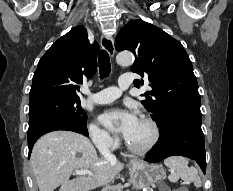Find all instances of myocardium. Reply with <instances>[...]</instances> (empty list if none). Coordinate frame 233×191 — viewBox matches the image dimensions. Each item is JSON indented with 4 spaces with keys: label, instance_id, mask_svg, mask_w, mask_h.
I'll use <instances>...</instances> for the list:
<instances>
[{
    "label": "myocardium",
    "instance_id": "obj_1",
    "mask_svg": "<svg viewBox=\"0 0 233 191\" xmlns=\"http://www.w3.org/2000/svg\"><path fill=\"white\" fill-rule=\"evenodd\" d=\"M141 119L146 121L147 123H149L151 125L152 130H153V136H152L151 141L145 146H137V145L130 143L128 140H126L127 147L132 152L137 153V154H145V153L149 152L150 150H152L156 146V144L158 143V141L160 139V127H159L157 121L148 115H143L141 117Z\"/></svg>",
    "mask_w": 233,
    "mask_h": 191
}]
</instances>
